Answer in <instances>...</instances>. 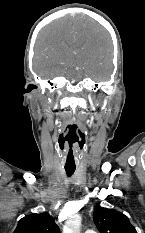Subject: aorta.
Segmentation results:
<instances>
[{"mask_svg": "<svg viewBox=\"0 0 145 233\" xmlns=\"http://www.w3.org/2000/svg\"><path fill=\"white\" fill-rule=\"evenodd\" d=\"M81 221L79 214L70 217L65 223L63 233H80Z\"/></svg>", "mask_w": 145, "mask_h": 233, "instance_id": "762f6f07", "label": "aorta"}]
</instances>
